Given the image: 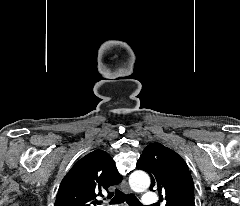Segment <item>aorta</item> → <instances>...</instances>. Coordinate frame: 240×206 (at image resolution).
<instances>
[{
	"instance_id": "obj_1",
	"label": "aorta",
	"mask_w": 240,
	"mask_h": 206,
	"mask_svg": "<svg viewBox=\"0 0 240 206\" xmlns=\"http://www.w3.org/2000/svg\"><path fill=\"white\" fill-rule=\"evenodd\" d=\"M129 185L136 192L144 191L150 186V177L143 171H135L129 177Z\"/></svg>"
}]
</instances>
